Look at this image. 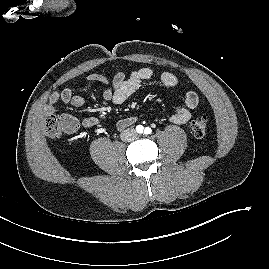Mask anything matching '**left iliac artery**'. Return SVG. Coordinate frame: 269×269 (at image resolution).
<instances>
[{"instance_id":"1","label":"left iliac artery","mask_w":269,"mask_h":269,"mask_svg":"<svg viewBox=\"0 0 269 269\" xmlns=\"http://www.w3.org/2000/svg\"><path fill=\"white\" fill-rule=\"evenodd\" d=\"M151 132H152V130H151L150 127H146L145 130H144V133L147 134V135L151 134Z\"/></svg>"}]
</instances>
